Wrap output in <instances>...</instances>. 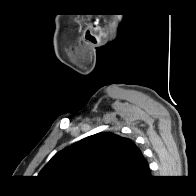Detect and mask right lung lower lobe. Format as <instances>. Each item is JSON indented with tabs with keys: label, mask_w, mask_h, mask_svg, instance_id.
Returning <instances> with one entry per match:
<instances>
[{
	"label": "right lung lower lobe",
	"mask_w": 196,
	"mask_h": 196,
	"mask_svg": "<svg viewBox=\"0 0 196 196\" xmlns=\"http://www.w3.org/2000/svg\"><path fill=\"white\" fill-rule=\"evenodd\" d=\"M149 177V176H148ZM143 181L135 183V184H130V185H124L123 187H133V186H137L139 184H141Z\"/></svg>",
	"instance_id": "98d812e1"
}]
</instances>
